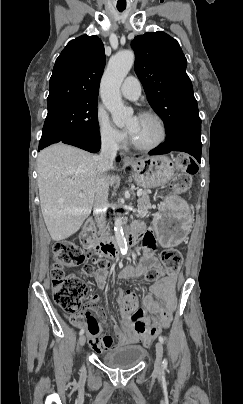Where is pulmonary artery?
<instances>
[{
  "instance_id": "pulmonary-artery-1",
  "label": "pulmonary artery",
  "mask_w": 243,
  "mask_h": 404,
  "mask_svg": "<svg viewBox=\"0 0 243 404\" xmlns=\"http://www.w3.org/2000/svg\"><path fill=\"white\" fill-rule=\"evenodd\" d=\"M142 92L140 80L133 75L127 76L121 85V94L131 100L137 99Z\"/></svg>"
}]
</instances>
